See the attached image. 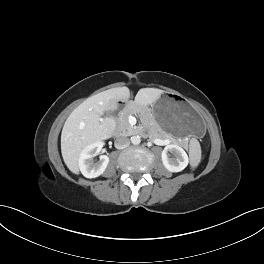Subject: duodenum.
I'll use <instances>...</instances> for the list:
<instances>
[{"label": "duodenum", "mask_w": 264, "mask_h": 264, "mask_svg": "<svg viewBox=\"0 0 264 264\" xmlns=\"http://www.w3.org/2000/svg\"><path fill=\"white\" fill-rule=\"evenodd\" d=\"M129 108V106H126V109H128Z\"/></svg>", "instance_id": "410a0bca"}]
</instances>
